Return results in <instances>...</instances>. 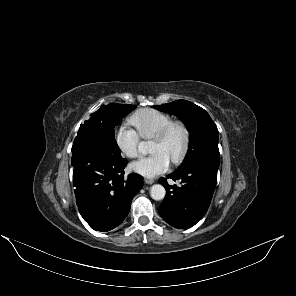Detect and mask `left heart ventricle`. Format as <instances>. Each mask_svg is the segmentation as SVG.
<instances>
[{
	"instance_id": "left-heart-ventricle-1",
	"label": "left heart ventricle",
	"mask_w": 296,
	"mask_h": 296,
	"mask_svg": "<svg viewBox=\"0 0 296 296\" xmlns=\"http://www.w3.org/2000/svg\"><path fill=\"white\" fill-rule=\"evenodd\" d=\"M183 142V134L175 128L164 142L153 141L151 152H163L172 160L179 152Z\"/></svg>"
}]
</instances>
